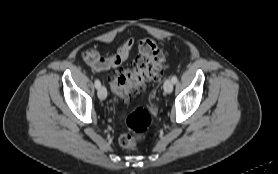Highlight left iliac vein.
Here are the masks:
<instances>
[{
	"instance_id": "obj_1",
	"label": "left iliac vein",
	"mask_w": 278,
	"mask_h": 174,
	"mask_svg": "<svg viewBox=\"0 0 278 174\" xmlns=\"http://www.w3.org/2000/svg\"><path fill=\"white\" fill-rule=\"evenodd\" d=\"M163 88L166 93H171L173 91V82L170 79H166Z\"/></svg>"
}]
</instances>
